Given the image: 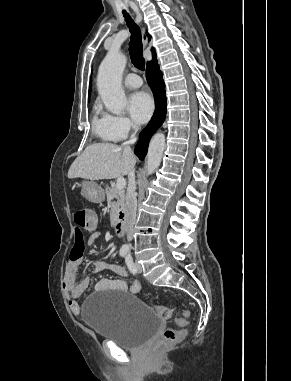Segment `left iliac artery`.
<instances>
[{
	"label": "left iliac artery",
	"instance_id": "left-iliac-artery-1",
	"mask_svg": "<svg viewBox=\"0 0 291 381\" xmlns=\"http://www.w3.org/2000/svg\"><path fill=\"white\" fill-rule=\"evenodd\" d=\"M125 262H126V265H127L128 269L130 270V272L135 274L136 273V269H135V265L133 263V259H132L130 254H128L126 256Z\"/></svg>",
	"mask_w": 291,
	"mask_h": 381
}]
</instances>
